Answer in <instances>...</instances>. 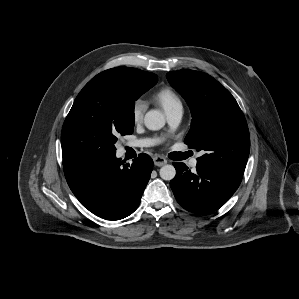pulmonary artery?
Returning a JSON list of instances; mask_svg holds the SVG:
<instances>
[{
  "mask_svg": "<svg viewBox=\"0 0 299 299\" xmlns=\"http://www.w3.org/2000/svg\"><path fill=\"white\" fill-rule=\"evenodd\" d=\"M166 114H167V119H168L169 124L174 128L181 121V118H182V115H183V108L182 107H177V108L169 111ZM156 142H157V140L141 139V140H138L136 142L130 143L129 145L132 146V147H147V146L154 145ZM189 164L193 168L196 167V165H197V158L196 157L193 158L190 161Z\"/></svg>",
  "mask_w": 299,
  "mask_h": 299,
  "instance_id": "e3ab8cb5",
  "label": "pulmonary artery"
}]
</instances>
